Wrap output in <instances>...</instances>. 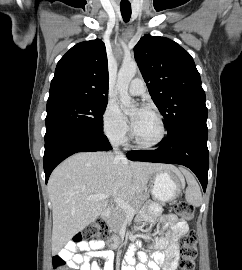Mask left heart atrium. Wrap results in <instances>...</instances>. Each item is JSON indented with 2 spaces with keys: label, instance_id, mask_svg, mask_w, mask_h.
I'll return each mask as SVG.
<instances>
[{
  "label": "left heart atrium",
  "instance_id": "39dd6f15",
  "mask_svg": "<svg viewBox=\"0 0 242 270\" xmlns=\"http://www.w3.org/2000/svg\"><path fill=\"white\" fill-rule=\"evenodd\" d=\"M146 112H148V111L145 108H141L138 110L137 115L132 119L133 127L137 124L139 118Z\"/></svg>",
  "mask_w": 242,
  "mask_h": 270
}]
</instances>
